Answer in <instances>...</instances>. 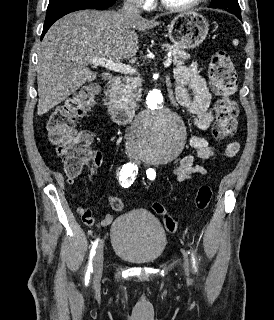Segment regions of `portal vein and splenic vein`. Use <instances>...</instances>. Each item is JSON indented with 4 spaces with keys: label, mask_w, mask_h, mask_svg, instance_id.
Instances as JSON below:
<instances>
[{
    "label": "portal vein and splenic vein",
    "mask_w": 274,
    "mask_h": 320,
    "mask_svg": "<svg viewBox=\"0 0 274 320\" xmlns=\"http://www.w3.org/2000/svg\"><path fill=\"white\" fill-rule=\"evenodd\" d=\"M92 66H103V68H108V70H113V72H124V74H137L135 68L131 66H126V64H120V62H114V60H108L104 56H99V58H92L88 60ZM172 64L171 58H167L164 62L165 68H168Z\"/></svg>",
    "instance_id": "1"
}]
</instances>
